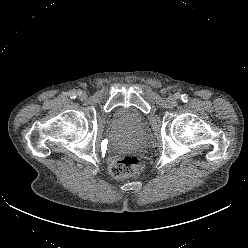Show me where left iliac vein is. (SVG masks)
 <instances>
[{
  "label": "left iliac vein",
  "mask_w": 248,
  "mask_h": 248,
  "mask_svg": "<svg viewBox=\"0 0 248 248\" xmlns=\"http://www.w3.org/2000/svg\"><path fill=\"white\" fill-rule=\"evenodd\" d=\"M176 100H177V97H176L175 95H170V96L168 97V102H169V103H175Z\"/></svg>",
  "instance_id": "1"
}]
</instances>
